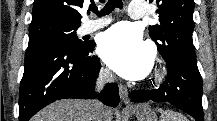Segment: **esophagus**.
Listing matches in <instances>:
<instances>
[{
    "mask_svg": "<svg viewBox=\"0 0 217 121\" xmlns=\"http://www.w3.org/2000/svg\"><path fill=\"white\" fill-rule=\"evenodd\" d=\"M119 94L124 104L130 105L129 92L126 86L119 84Z\"/></svg>",
    "mask_w": 217,
    "mask_h": 121,
    "instance_id": "esophagus-1",
    "label": "esophagus"
}]
</instances>
